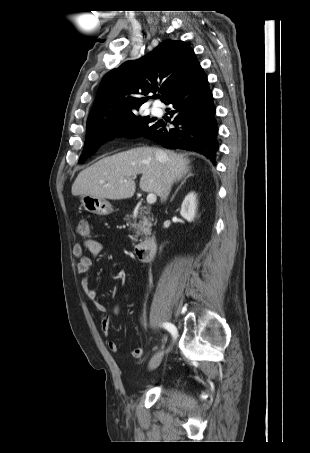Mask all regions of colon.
<instances>
[{
  "mask_svg": "<svg viewBox=\"0 0 310 453\" xmlns=\"http://www.w3.org/2000/svg\"><path fill=\"white\" fill-rule=\"evenodd\" d=\"M77 233L80 237H88L90 235V226L86 220H81L77 227Z\"/></svg>",
  "mask_w": 310,
  "mask_h": 453,
  "instance_id": "obj_1",
  "label": "colon"
}]
</instances>
